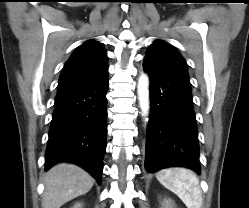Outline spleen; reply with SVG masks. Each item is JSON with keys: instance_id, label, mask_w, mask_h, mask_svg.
Listing matches in <instances>:
<instances>
[{"instance_id": "obj_1", "label": "spleen", "mask_w": 249, "mask_h": 208, "mask_svg": "<svg viewBox=\"0 0 249 208\" xmlns=\"http://www.w3.org/2000/svg\"><path fill=\"white\" fill-rule=\"evenodd\" d=\"M158 181L175 193L187 208H201L202 192L194 172L185 168H170L156 175Z\"/></svg>"}]
</instances>
